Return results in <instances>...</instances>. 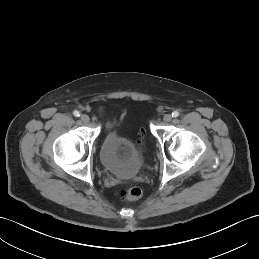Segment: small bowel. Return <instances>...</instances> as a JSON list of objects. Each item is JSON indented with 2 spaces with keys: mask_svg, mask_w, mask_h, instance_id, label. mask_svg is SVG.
<instances>
[{
  "mask_svg": "<svg viewBox=\"0 0 259 259\" xmlns=\"http://www.w3.org/2000/svg\"><path fill=\"white\" fill-rule=\"evenodd\" d=\"M104 112V107H101L100 108V113H103ZM117 124V121L114 119L110 122L107 123V129L108 130H112Z\"/></svg>",
  "mask_w": 259,
  "mask_h": 259,
  "instance_id": "small-bowel-1",
  "label": "small bowel"
}]
</instances>
